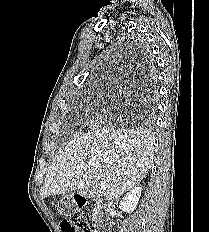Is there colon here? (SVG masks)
<instances>
[{
	"instance_id": "5ec220e1",
	"label": "colon",
	"mask_w": 209,
	"mask_h": 232,
	"mask_svg": "<svg viewBox=\"0 0 209 232\" xmlns=\"http://www.w3.org/2000/svg\"><path fill=\"white\" fill-rule=\"evenodd\" d=\"M61 229L63 232H91L89 222L81 215H73L70 220L62 221Z\"/></svg>"
}]
</instances>
